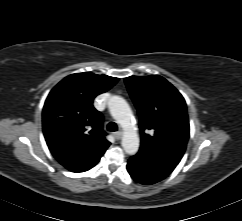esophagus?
I'll return each instance as SVG.
<instances>
[{"instance_id":"obj_1","label":"esophagus","mask_w":242,"mask_h":221,"mask_svg":"<svg viewBox=\"0 0 242 221\" xmlns=\"http://www.w3.org/2000/svg\"><path fill=\"white\" fill-rule=\"evenodd\" d=\"M113 135H114V137H115L117 140H119V139H121V137H122V132H121V131H118V132H115Z\"/></svg>"}]
</instances>
